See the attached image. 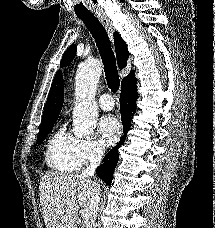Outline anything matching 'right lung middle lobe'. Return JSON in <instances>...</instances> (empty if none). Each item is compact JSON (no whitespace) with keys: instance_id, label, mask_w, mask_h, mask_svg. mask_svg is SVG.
Listing matches in <instances>:
<instances>
[{"instance_id":"right-lung-middle-lobe-1","label":"right lung middle lobe","mask_w":215,"mask_h":228,"mask_svg":"<svg viewBox=\"0 0 215 228\" xmlns=\"http://www.w3.org/2000/svg\"><path fill=\"white\" fill-rule=\"evenodd\" d=\"M54 123L55 122L40 125V131H39V135H38V139H37L38 144H41L45 140L46 136L52 129Z\"/></svg>"}]
</instances>
